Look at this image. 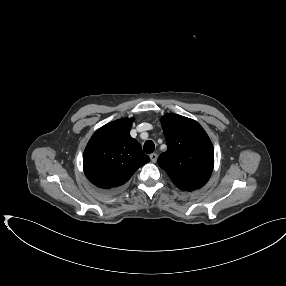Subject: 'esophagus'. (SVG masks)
Masks as SVG:
<instances>
[{
    "label": "esophagus",
    "instance_id": "1",
    "mask_svg": "<svg viewBox=\"0 0 286 286\" xmlns=\"http://www.w3.org/2000/svg\"><path fill=\"white\" fill-rule=\"evenodd\" d=\"M157 158H158V156H157L156 153H152V154L150 155V159H151V161H152L153 163H155V162L157 161Z\"/></svg>",
    "mask_w": 286,
    "mask_h": 286
}]
</instances>
